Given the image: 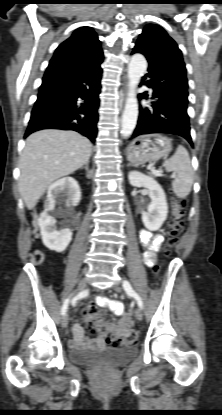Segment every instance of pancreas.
<instances>
[{
    "label": "pancreas",
    "instance_id": "cf45deb5",
    "mask_svg": "<svg viewBox=\"0 0 222 415\" xmlns=\"http://www.w3.org/2000/svg\"><path fill=\"white\" fill-rule=\"evenodd\" d=\"M151 175H153L154 177H158V176H160V173L152 172Z\"/></svg>",
    "mask_w": 222,
    "mask_h": 415
}]
</instances>
